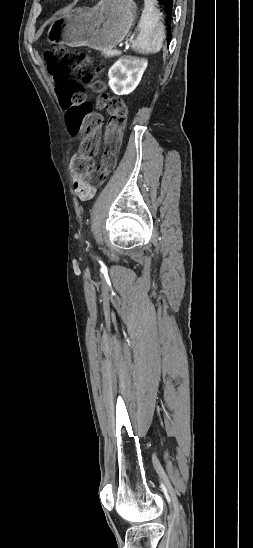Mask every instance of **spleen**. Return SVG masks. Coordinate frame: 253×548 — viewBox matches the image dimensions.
<instances>
[{"label": "spleen", "mask_w": 253, "mask_h": 548, "mask_svg": "<svg viewBox=\"0 0 253 548\" xmlns=\"http://www.w3.org/2000/svg\"><path fill=\"white\" fill-rule=\"evenodd\" d=\"M138 28L140 33L132 42V49L138 53H157L161 50L165 38V28L160 21L161 13L155 6V0H144Z\"/></svg>", "instance_id": "obj_1"}]
</instances>
